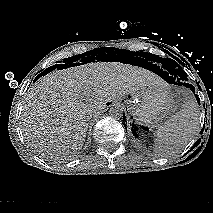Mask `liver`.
I'll list each match as a JSON object with an SVG mask.
<instances>
[{"instance_id":"6515ba94","label":"liver","mask_w":213,"mask_h":213,"mask_svg":"<svg viewBox=\"0 0 213 213\" xmlns=\"http://www.w3.org/2000/svg\"><path fill=\"white\" fill-rule=\"evenodd\" d=\"M162 84L149 70L120 62H92L39 78L23 105L24 138L42 158L75 156L83 146L88 115L148 85ZM85 97L88 98L85 102Z\"/></svg>"}]
</instances>
